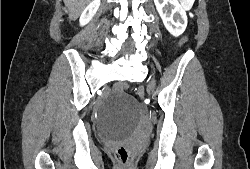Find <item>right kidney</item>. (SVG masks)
<instances>
[{
	"label": "right kidney",
	"instance_id": "obj_1",
	"mask_svg": "<svg viewBox=\"0 0 250 169\" xmlns=\"http://www.w3.org/2000/svg\"><path fill=\"white\" fill-rule=\"evenodd\" d=\"M99 6H100V0H92V2H89L88 6H86L83 12H81V16L79 18L80 26H83V24H87V22H89V20L93 18Z\"/></svg>",
	"mask_w": 250,
	"mask_h": 169
}]
</instances>
